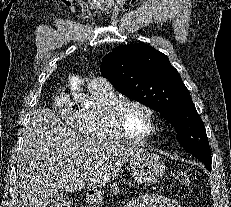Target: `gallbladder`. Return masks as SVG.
<instances>
[{
  "label": "gallbladder",
  "instance_id": "obj_1",
  "mask_svg": "<svg viewBox=\"0 0 231 207\" xmlns=\"http://www.w3.org/2000/svg\"><path fill=\"white\" fill-rule=\"evenodd\" d=\"M67 199H68V195L64 193L62 190H59L49 198V205H51V207L60 206Z\"/></svg>",
  "mask_w": 231,
  "mask_h": 207
}]
</instances>
